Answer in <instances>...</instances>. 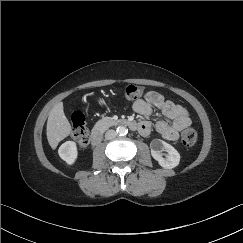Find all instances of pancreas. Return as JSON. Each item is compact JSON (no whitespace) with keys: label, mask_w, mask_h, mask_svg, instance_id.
Wrapping results in <instances>:
<instances>
[{"label":"pancreas","mask_w":243,"mask_h":243,"mask_svg":"<svg viewBox=\"0 0 243 243\" xmlns=\"http://www.w3.org/2000/svg\"><path fill=\"white\" fill-rule=\"evenodd\" d=\"M115 121L110 117H103L96 124L95 127L98 130H106L110 126L114 125Z\"/></svg>","instance_id":"1"}]
</instances>
